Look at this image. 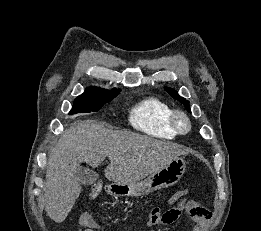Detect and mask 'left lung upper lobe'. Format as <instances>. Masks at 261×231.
<instances>
[{"instance_id":"5c2ea615","label":"left lung upper lobe","mask_w":261,"mask_h":231,"mask_svg":"<svg viewBox=\"0 0 261 231\" xmlns=\"http://www.w3.org/2000/svg\"><path fill=\"white\" fill-rule=\"evenodd\" d=\"M165 90L174 98V99H177L178 101H180L181 103H183L185 106H186V109L188 111H190V108H189V102L184 99L183 97H180L178 95V93L170 88H165Z\"/></svg>"}]
</instances>
